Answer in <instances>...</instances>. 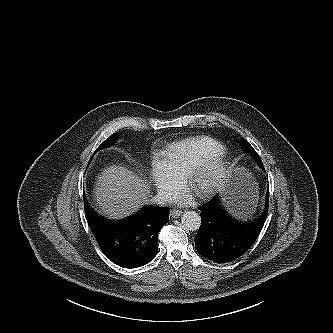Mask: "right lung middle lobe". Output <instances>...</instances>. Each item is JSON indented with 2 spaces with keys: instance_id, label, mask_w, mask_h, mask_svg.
Masks as SVG:
<instances>
[{
  "instance_id": "1",
  "label": "right lung middle lobe",
  "mask_w": 333,
  "mask_h": 333,
  "mask_svg": "<svg viewBox=\"0 0 333 333\" xmlns=\"http://www.w3.org/2000/svg\"><path fill=\"white\" fill-rule=\"evenodd\" d=\"M116 139V134H112L108 139H106L98 148L95 152H97L98 150H101L103 148L109 147L111 144L114 143Z\"/></svg>"
}]
</instances>
